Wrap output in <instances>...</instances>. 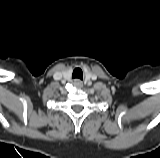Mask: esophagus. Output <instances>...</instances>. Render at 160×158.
<instances>
[{
	"label": "esophagus",
	"instance_id": "obj_1",
	"mask_svg": "<svg viewBox=\"0 0 160 158\" xmlns=\"http://www.w3.org/2000/svg\"><path fill=\"white\" fill-rule=\"evenodd\" d=\"M73 84H74V86H76V87H82V81L81 80H79V79H75L74 81H73Z\"/></svg>",
	"mask_w": 160,
	"mask_h": 158
}]
</instances>
